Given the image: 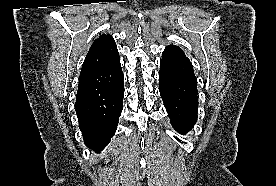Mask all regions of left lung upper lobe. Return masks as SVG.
Returning a JSON list of instances; mask_svg holds the SVG:
<instances>
[{
	"label": "left lung upper lobe",
	"mask_w": 276,
	"mask_h": 186,
	"mask_svg": "<svg viewBox=\"0 0 276 186\" xmlns=\"http://www.w3.org/2000/svg\"><path fill=\"white\" fill-rule=\"evenodd\" d=\"M162 60L192 65L184 52L175 45H169L165 48L162 54Z\"/></svg>",
	"instance_id": "1"
}]
</instances>
